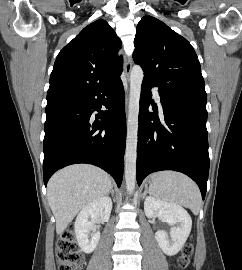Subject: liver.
Wrapping results in <instances>:
<instances>
[{"instance_id":"6515ba94","label":"liver","mask_w":242,"mask_h":270,"mask_svg":"<svg viewBox=\"0 0 242 270\" xmlns=\"http://www.w3.org/2000/svg\"><path fill=\"white\" fill-rule=\"evenodd\" d=\"M111 188L110 176L92 165H71L55 173L48 182L47 196L56 233L61 235L83 207L106 196Z\"/></svg>"}]
</instances>
